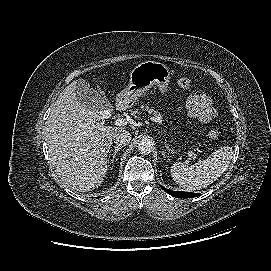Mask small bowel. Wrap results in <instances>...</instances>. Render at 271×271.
<instances>
[{
  "label": "small bowel",
  "instance_id": "c3829d8e",
  "mask_svg": "<svg viewBox=\"0 0 271 271\" xmlns=\"http://www.w3.org/2000/svg\"><path fill=\"white\" fill-rule=\"evenodd\" d=\"M188 115L200 122H209L217 115L212 99L202 90L193 92L187 99Z\"/></svg>",
  "mask_w": 271,
  "mask_h": 271
}]
</instances>
